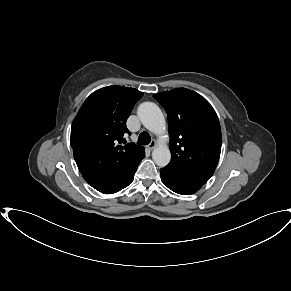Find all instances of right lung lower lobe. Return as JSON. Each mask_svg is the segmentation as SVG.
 I'll use <instances>...</instances> for the list:
<instances>
[{
	"label": "right lung lower lobe",
	"mask_w": 291,
	"mask_h": 291,
	"mask_svg": "<svg viewBox=\"0 0 291 291\" xmlns=\"http://www.w3.org/2000/svg\"><path fill=\"white\" fill-rule=\"evenodd\" d=\"M145 151L134 162L120 171L108 173L83 174L84 179L96 190L104 194L116 193L127 187L134 179V174Z\"/></svg>",
	"instance_id": "1"
}]
</instances>
